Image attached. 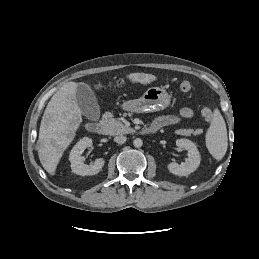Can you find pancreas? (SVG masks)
Instances as JSON below:
<instances>
[{
    "label": "pancreas",
    "instance_id": "1",
    "mask_svg": "<svg viewBox=\"0 0 259 259\" xmlns=\"http://www.w3.org/2000/svg\"><path fill=\"white\" fill-rule=\"evenodd\" d=\"M103 125L106 127L109 135L128 134L134 132L132 128L125 126L121 121L113 118V115L109 112L105 114ZM181 132L199 134L201 130L194 131L192 129H188L182 130Z\"/></svg>",
    "mask_w": 259,
    "mask_h": 259
}]
</instances>
